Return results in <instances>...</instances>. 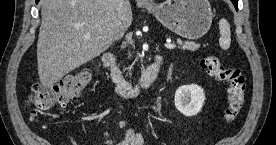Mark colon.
<instances>
[{"instance_id":"obj_1","label":"colon","mask_w":276,"mask_h":145,"mask_svg":"<svg viewBox=\"0 0 276 145\" xmlns=\"http://www.w3.org/2000/svg\"><path fill=\"white\" fill-rule=\"evenodd\" d=\"M202 68L216 80L227 85L228 106L225 111L227 122L234 121L245 101L246 82L240 70L226 68L216 55H208L201 61ZM91 76L87 72L63 77L52 85L35 83L31 87L28 108L34 118L43 111L64 105L79 96L88 86Z\"/></svg>"}]
</instances>
